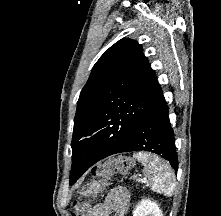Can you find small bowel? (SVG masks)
Segmentation results:
<instances>
[{"label":"small bowel","mask_w":221,"mask_h":216,"mask_svg":"<svg viewBox=\"0 0 221 216\" xmlns=\"http://www.w3.org/2000/svg\"><path fill=\"white\" fill-rule=\"evenodd\" d=\"M127 195L120 190L109 193L104 201L96 205L89 212L88 216H125Z\"/></svg>","instance_id":"c3829d8e"}]
</instances>
